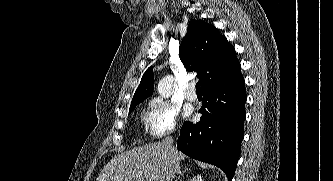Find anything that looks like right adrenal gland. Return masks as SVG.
Masks as SVG:
<instances>
[{
    "label": "right adrenal gland",
    "instance_id": "1",
    "mask_svg": "<svg viewBox=\"0 0 333 181\" xmlns=\"http://www.w3.org/2000/svg\"><path fill=\"white\" fill-rule=\"evenodd\" d=\"M187 171H188L187 168H185V170H182V171H181V169L179 168V169H178V177L176 178L175 181H179V180L181 179V176H183Z\"/></svg>",
    "mask_w": 333,
    "mask_h": 181
}]
</instances>
